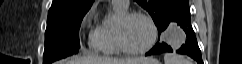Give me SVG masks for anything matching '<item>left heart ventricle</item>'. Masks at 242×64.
Segmentation results:
<instances>
[{
  "label": "left heart ventricle",
  "instance_id": "1",
  "mask_svg": "<svg viewBox=\"0 0 242 64\" xmlns=\"http://www.w3.org/2000/svg\"><path fill=\"white\" fill-rule=\"evenodd\" d=\"M123 36L130 48L140 49L149 42L151 27L143 18H132L124 24Z\"/></svg>",
  "mask_w": 242,
  "mask_h": 64
}]
</instances>
